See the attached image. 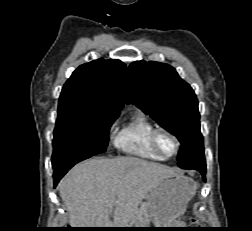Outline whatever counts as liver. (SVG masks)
<instances>
[{
  "instance_id": "6515ba94",
  "label": "liver",
  "mask_w": 252,
  "mask_h": 231,
  "mask_svg": "<svg viewBox=\"0 0 252 231\" xmlns=\"http://www.w3.org/2000/svg\"><path fill=\"white\" fill-rule=\"evenodd\" d=\"M173 175L136 157L93 158L74 166L58 188L73 228H126L138 220L142 200Z\"/></svg>"
}]
</instances>
